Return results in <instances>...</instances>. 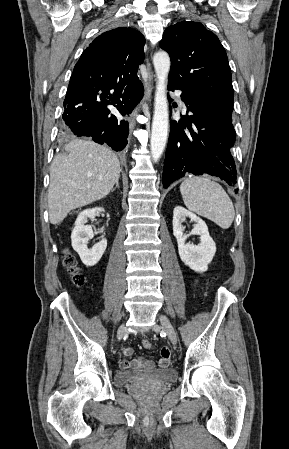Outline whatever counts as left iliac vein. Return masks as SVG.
Masks as SVG:
<instances>
[{
    "mask_svg": "<svg viewBox=\"0 0 289 449\" xmlns=\"http://www.w3.org/2000/svg\"><path fill=\"white\" fill-rule=\"evenodd\" d=\"M159 319H160L162 328L166 332L169 340L171 341L172 344L176 345L177 344V336H176V332H175L171 322L165 315H160ZM154 329L156 330L157 326H154Z\"/></svg>",
    "mask_w": 289,
    "mask_h": 449,
    "instance_id": "1",
    "label": "left iliac vein"
}]
</instances>
